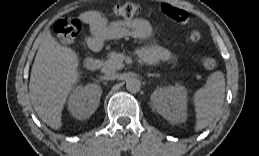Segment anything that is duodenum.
Wrapping results in <instances>:
<instances>
[{"mask_svg": "<svg viewBox=\"0 0 259 156\" xmlns=\"http://www.w3.org/2000/svg\"><path fill=\"white\" fill-rule=\"evenodd\" d=\"M92 50H98L100 48V44L98 42H94L91 47ZM101 66L100 60L96 58H87L84 61V67L89 71H95L99 69Z\"/></svg>", "mask_w": 259, "mask_h": 156, "instance_id": "1", "label": "duodenum"}]
</instances>
